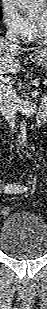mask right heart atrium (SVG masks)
<instances>
[{
	"instance_id": "1",
	"label": "right heart atrium",
	"mask_w": 47,
	"mask_h": 309,
	"mask_svg": "<svg viewBox=\"0 0 47 309\" xmlns=\"http://www.w3.org/2000/svg\"><path fill=\"white\" fill-rule=\"evenodd\" d=\"M3 18L8 31L14 37L26 40L32 36V25L20 15L11 0H3Z\"/></svg>"
}]
</instances>
